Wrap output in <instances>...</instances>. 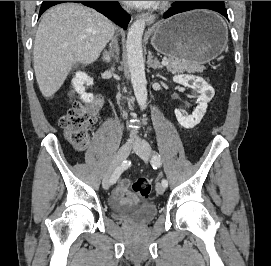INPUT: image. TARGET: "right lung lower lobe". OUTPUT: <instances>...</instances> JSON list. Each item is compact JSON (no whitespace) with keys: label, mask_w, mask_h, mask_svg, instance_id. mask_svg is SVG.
<instances>
[{"label":"right lung lower lobe","mask_w":271,"mask_h":266,"mask_svg":"<svg viewBox=\"0 0 271 266\" xmlns=\"http://www.w3.org/2000/svg\"><path fill=\"white\" fill-rule=\"evenodd\" d=\"M64 2H78L88 7L94 8L95 10L102 13L103 15L114 21L116 24L121 26L123 29L127 28V24L130 20L129 14H127L121 8L118 1H43L39 14L41 15L51 6Z\"/></svg>","instance_id":"obj_1"}]
</instances>
